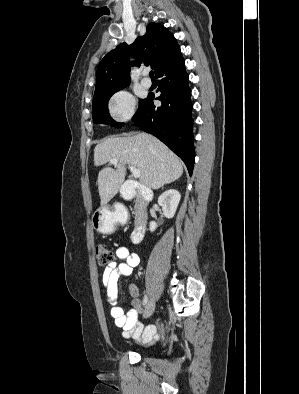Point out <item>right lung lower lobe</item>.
Wrapping results in <instances>:
<instances>
[{
  "mask_svg": "<svg viewBox=\"0 0 299 394\" xmlns=\"http://www.w3.org/2000/svg\"><path fill=\"white\" fill-rule=\"evenodd\" d=\"M156 76L160 78L158 91L161 92L156 100H160L162 105L155 107L152 102L154 94L150 93L139 105L132 120L176 153L184 161L191 175L195 158L192 104L183 57L165 67Z\"/></svg>",
  "mask_w": 299,
  "mask_h": 394,
  "instance_id": "1",
  "label": "right lung lower lobe"
}]
</instances>
